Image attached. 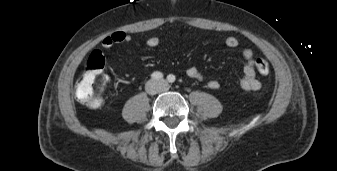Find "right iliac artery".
I'll use <instances>...</instances> for the list:
<instances>
[{"label":"right iliac artery","mask_w":337,"mask_h":171,"mask_svg":"<svg viewBox=\"0 0 337 171\" xmlns=\"http://www.w3.org/2000/svg\"><path fill=\"white\" fill-rule=\"evenodd\" d=\"M151 78L153 80H161V79H163V74L161 72L156 71V72L152 73Z\"/></svg>","instance_id":"1"}]
</instances>
